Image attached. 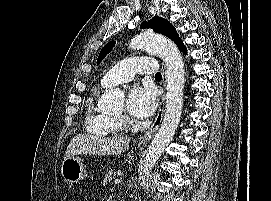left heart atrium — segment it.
Segmentation results:
<instances>
[{
    "instance_id": "left-heart-atrium-1",
    "label": "left heart atrium",
    "mask_w": 271,
    "mask_h": 201,
    "mask_svg": "<svg viewBox=\"0 0 271 201\" xmlns=\"http://www.w3.org/2000/svg\"><path fill=\"white\" fill-rule=\"evenodd\" d=\"M156 105L155 90L148 84L133 86L126 100L127 111L137 118L149 117Z\"/></svg>"
}]
</instances>
